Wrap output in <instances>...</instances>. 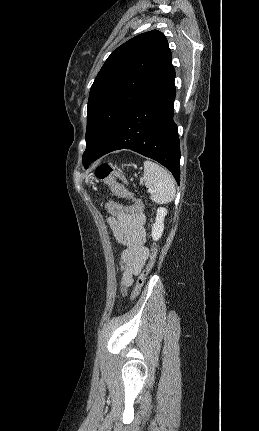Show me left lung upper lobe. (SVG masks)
Wrapping results in <instances>:
<instances>
[{"mask_svg":"<svg viewBox=\"0 0 259 431\" xmlns=\"http://www.w3.org/2000/svg\"><path fill=\"white\" fill-rule=\"evenodd\" d=\"M163 33L139 34L105 61L91 87L87 106L85 168L122 117L145 97L172 68Z\"/></svg>","mask_w":259,"mask_h":431,"instance_id":"1","label":"left lung upper lobe"}]
</instances>
